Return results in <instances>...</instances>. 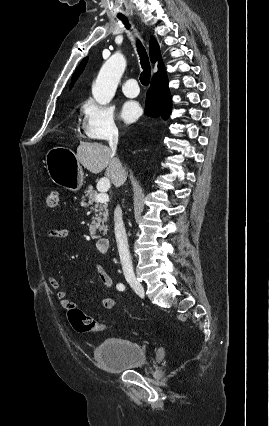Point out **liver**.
Segmentation results:
<instances>
[{
  "label": "liver",
  "mask_w": 269,
  "mask_h": 426,
  "mask_svg": "<svg viewBox=\"0 0 269 426\" xmlns=\"http://www.w3.org/2000/svg\"><path fill=\"white\" fill-rule=\"evenodd\" d=\"M76 156L91 173L98 174L106 169L105 177L109 178L116 187L122 185L127 179L126 170L120 160L114 157V153L106 145L81 141Z\"/></svg>",
  "instance_id": "liver-1"
}]
</instances>
